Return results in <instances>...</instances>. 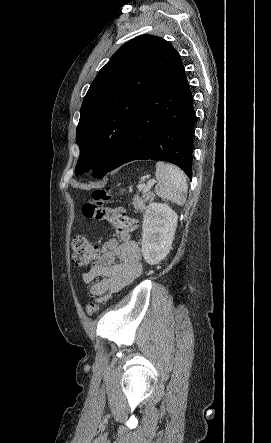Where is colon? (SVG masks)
Instances as JSON below:
<instances>
[{
	"instance_id": "obj_1",
	"label": "colon",
	"mask_w": 271,
	"mask_h": 443,
	"mask_svg": "<svg viewBox=\"0 0 271 443\" xmlns=\"http://www.w3.org/2000/svg\"><path fill=\"white\" fill-rule=\"evenodd\" d=\"M111 198L110 187L93 191L90 199L82 207L83 215L98 223H104L115 228L118 235L127 240L136 229L137 222L130 218L121 208H109L106 206ZM71 247L73 250V262L76 266L88 267L96 258L98 248L83 236L73 238ZM99 309L97 303L91 302L87 306V314L94 316Z\"/></svg>"
}]
</instances>
